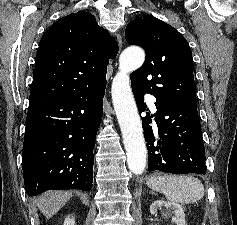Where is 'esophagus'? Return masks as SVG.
<instances>
[{
    "mask_svg": "<svg viewBox=\"0 0 237 225\" xmlns=\"http://www.w3.org/2000/svg\"><path fill=\"white\" fill-rule=\"evenodd\" d=\"M117 41H118V44H119V49L121 50V47H122V37L120 34L117 35Z\"/></svg>",
    "mask_w": 237,
    "mask_h": 225,
    "instance_id": "obj_1",
    "label": "esophagus"
}]
</instances>
